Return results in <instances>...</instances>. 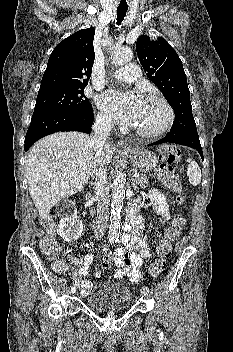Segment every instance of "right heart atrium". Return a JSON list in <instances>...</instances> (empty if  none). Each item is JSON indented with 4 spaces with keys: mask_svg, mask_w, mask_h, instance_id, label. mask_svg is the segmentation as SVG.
Wrapping results in <instances>:
<instances>
[{
    "mask_svg": "<svg viewBox=\"0 0 233 352\" xmlns=\"http://www.w3.org/2000/svg\"><path fill=\"white\" fill-rule=\"evenodd\" d=\"M97 121L102 125H110L112 123L111 118L104 112H100L97 115Z\"/></svg>",
    "mask_w": 233,
    "mask_h": 352,
    "instance_id": "right-heart-atrium-1",
    "label": "right heart atrium"
}]
</instances>
